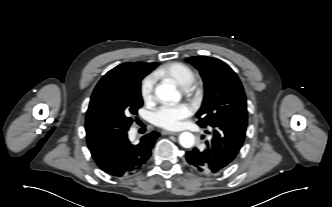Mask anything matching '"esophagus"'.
<instances>
[{
  "instance_id": "esophagus-1",
  "label": "esophagus",
  "mask_w": 332,
  "mask_h": 207,
  "mask_svg": "<svg viewBox=\"0 0 332 207\" xmlns=\"http://www.w3.org/2000/svg\"><path fill=\"white\" fill-rule=\"evenodd\" d=\"M178 132H173V131H168V130H163L162 135H177Z\"/></svg>"
}]
</instances>
